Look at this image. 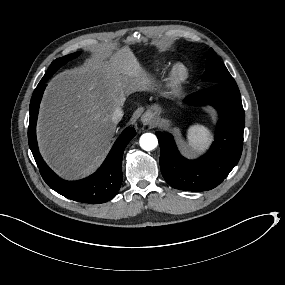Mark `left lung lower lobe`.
Wrapping results in <instances>:
<instances>
[{
    "label": "left lung lower lobe",
    "instance_id": "1",
    "mask_svg": "<svg viewBox=\"0 0 285 285\" xmlns=\"http://www.w3.org/2000/svg\"><path fill=\"white\" fill-rule=\"evenodd\" d=\"M185 101L209 104L219 113V122L210 150L197 160H187L178 152L169 133L156 132L160 145V168L173 188L206 191L218 186L238 163L245 126L241 95L236 83L213 84L189 95Z\"/></svg>",
    "mask_w": 285,
    "mask_h": 285
}]
</instances>
